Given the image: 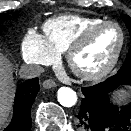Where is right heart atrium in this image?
Masks as SVG:
<instances>
[{"label": "right heart atrium", "mask_w": 131, "mask_h": 131, "mask_svg": "<svg viewBox=\"0 0 131 131\" xmlns=\"http://www.w3.org/2000/svg\"><path fill=\"white\" fill-rule=\"evenodd\" d=\"M21 55L25 62L36 65H49L58 58L53 48L43 36L35 31H29L21 43Z\"/></svg>", "instance_id": "obj_1"}]
</instances>
